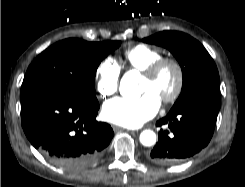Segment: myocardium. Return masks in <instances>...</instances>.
I'll list each match as a JSON object with an SVG mask.
<instances>
[{"instance_id": "f54148a6", "label": "myocardium", "mask_w": 245, "mask_h": 187, "mask_svg": "<svg viewBox=\"0 0 245 187\" xmlns=\"http://www.w3.org/2000/svg\"><path fill=\"white\" fill-rule=\"evenodd\" d=\"M170 67L174 70L176 80L173 90L167 96L161 98L164 104L174 103L182 94L184 88V70L180 62L171 57H162L151 63L144 71V77L155 79L163 69Z\"/></svg>"}]
</instances>
